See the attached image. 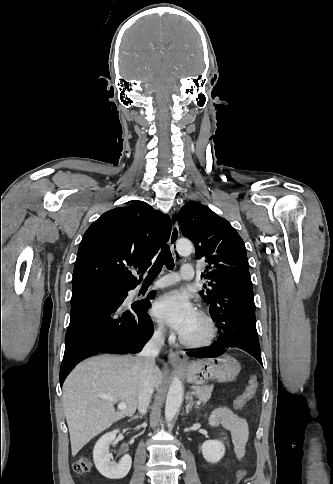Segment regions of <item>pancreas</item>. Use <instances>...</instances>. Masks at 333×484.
Here are the masks:
<instances>
[{
  "label": "pancreas",
  "instance_id": "cf45deb5",
  "mask_svg": "<svg viewBox=\"0 0 333 484\" xmlns=\"http://www.w3.org/2000/svg\"><path fill=\"white\" fill-rule=\"evenodd\" d=\"M213 388H214L213 385L193 386L192 395L198 398L203 403H206L211 397Z\"/></svg>",
  "mask_w": 333,
  "mask_h": 484
}]
</instances>
